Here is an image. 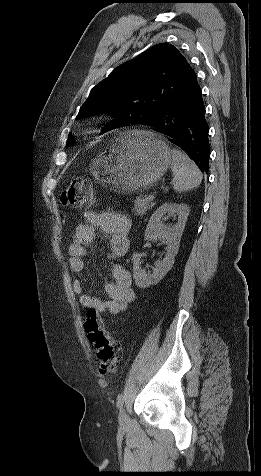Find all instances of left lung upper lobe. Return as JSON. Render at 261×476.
I'll return each mask as SVG.
<instances>
[{"label": "left lung upper lobe", "instance_id": "5c2ea615", "mask_svg": "<svg viewBox=\"0 0 261 476\" xmlns=\"http://www.w3.org/2000/svg\"><path fill=\"white\" fill-rule=\"evenodd\" d=\"M195 72L172 45L157 44L116 67L92 88L77 119L109 114L101 133L129 124H143L160 115L189 85ZM75 145L69 134L67 147Z\"/></svg>", "mask_w": 261, "mask_h": 476}]
</instances>
